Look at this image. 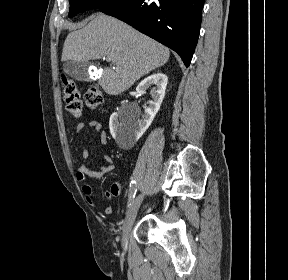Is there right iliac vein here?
I'll list each match as a JSON object with an SVG mask.
<instances>
[{"mask_svg":"<svg viewBox=\"0 0 288 280\" xmlns=\"http://www.w3.org/2000/svg\"><path fill=\"white\" fill-rule=\"evenodd\" d=\"M143 198H144V193L138 194L137 197L132 202V205L129 211L127 212V215L123 224L122 236H121V243H122L123 248L127 247L129 232L136 218L137 212L140 208Z\"/></svg>","mask_w":288,"mask_h":280,"instance_id":"right-iliac-vein-1","label":"right iliac vein"}]
</instances>
